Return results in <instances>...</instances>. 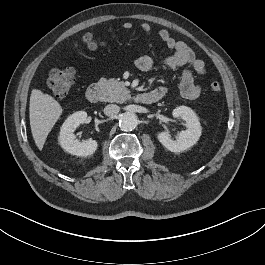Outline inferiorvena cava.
<instances>
[{"instance_id":"1","label":"inferior vena cava","mask_w":265,"mask_h":265,"mask_svg":"<svg viewBox=\"0 0 265 265\" xmlns=\"http://www.w3.org/2000/svg\"><path fill=\"white\" fill-rule=\"evenodd\" d=\"M120 111V107L118 105L109 104L104 108V114L107 116L117 115Z\"/></svg>"}]
</instances>
